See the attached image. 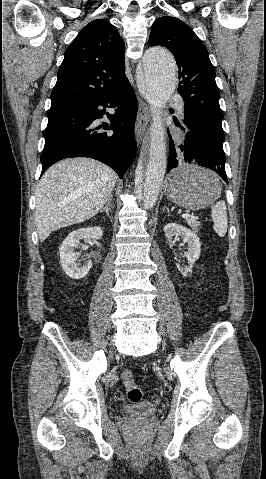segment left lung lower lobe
<instances>
[{"mask_svg":"<svg viewBox=\"0 0 266 479\" xmlns=\"http://www.w3.org/2000/svg\"><path fill=\"white\" fill-rule=\"evenodd\" d=\"M178 126V125H177ZM182 130L181 139L177 142L170 136L169 160L167 172L184 164H196L218 173L226 183H228L225 172V159H211L208 155L207 147L200 141L198 136L192 131L180 126Z\"/></svg>","mask_w":266,"mask_h":479,"instance_id":"0a47b994","label":"left lung lower lobe"}]
</instances>
